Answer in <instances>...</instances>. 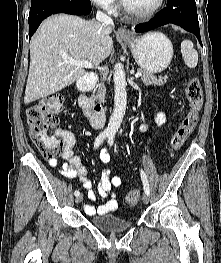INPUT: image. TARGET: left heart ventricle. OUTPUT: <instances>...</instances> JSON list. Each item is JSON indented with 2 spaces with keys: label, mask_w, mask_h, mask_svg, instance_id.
Returning a JSON list of instances; mask_svg holds the SVG:
<instances>
[{
  "label": "left heart ventricle",
  "mask_w": 221,
  "mask_h": 263,
  "mask_svg": "<svg viewBox=\"0 0 221 263\" xmlns=\"http://www.w3.org/2000/svg\"><path fill=\"white\" fill-rule=\"evenodd\" d=\"M125 2L133 9L148 10L154 7L158 0H125Z\"/></svg>",
  "instance_id": "1"
}]
</instances>
